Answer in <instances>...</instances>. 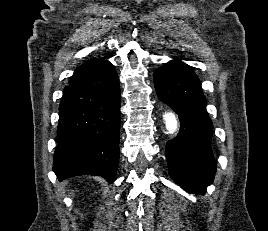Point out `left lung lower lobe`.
<instances>
[{"mask_svg":"<svg viewBox=\"0 0 268 231\" xmlns=\"http://www.w3.org/2000/svg\"><path fill=\"white\" fill-rule=\"evenodd\" d=\"M153 78L157 96L179 115L181 125L166 145L170 173L185 191L204 193L213 182L216 163L211 148L213 125L199 78L179 60L164 64Z\"/></svg>","mask_w":268,"mask_h":231,"instance_id":"left-lung-lower-lobe-1","label":"left lung lower lobe"}]
</instances>
